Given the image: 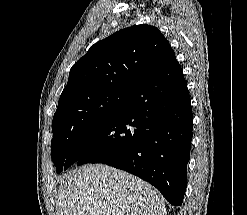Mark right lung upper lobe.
I'll return each mask as SVG.
<instances>
[{"label": "right lung upper lobe", "mask_w": 247, "mask_h": 215, "mask_svg": "<svg viewBox=\"0 0 247 215\" xmlns=\"http://www.w3.org/2000/svg\"><path fill=\"white\" fill-rule=\"evenodd\" d=\"M174 54L154 26L122 29L90 47L70 69L60 100L69 94L86 95L102 90L133 92L151 79Z\"/></svg>", "instance_id": "1"}]
</instances>
